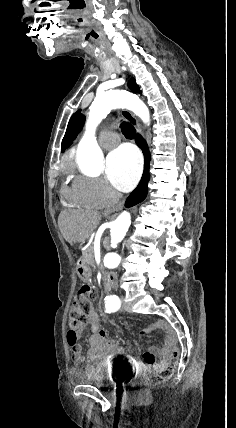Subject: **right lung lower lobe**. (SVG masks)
<instances>
[{
    "label": "right lung lower lobe",
    "instance_id": "right-lung-lower-lobe-1",
    "mask_svg": "<svg viewBox=\"0 0 236 428\" xmlns=\"http://www.w3.org/2000/svg\"><path fill=\"white\" fill-rule=\"evenodd\" d=\"M136 143L142 149L144 153V172L141 178V181L137 188L130 194L128 197L125 206L132 207L140 202H142L147 195L148 191V182H149V164H150V154L146 145L145 140L141 136H137Z\"/></svg>",
    "mask_w": 236,
    "mask_h": 428
}]
</instances>
